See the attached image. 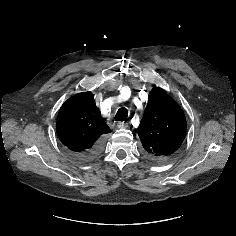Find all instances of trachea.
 <instances>
[{
    "mask_svg": "<svg viewBox=\"0 0 236 236\" xmlns=\"http://www.w3.org/2000/svg\"><path fill=\"white\" fill-rule=\"evenodd\" d=\"M127 116H128V110L123 107L117 111V113L115 115V120L116 121H124V120H126Z\"/></svg>",
    "mask_w": 236,
    "mask_h": 236,
    "instance_id": "trachea-1",
    "label": "trachea"
}]
</instances>
